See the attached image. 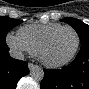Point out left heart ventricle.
<instances>
[{
	"instance_id": "b2bd125f",
	"label": "left heart ventricle",
	"mask_w": 89,
	"mask_h": 89,
	"mask_svg": "<svg viewBox=\"0 0 89 89\" xmlns=\"http://www.w3.org/2000/svg\"><path fill=\"white\" fill-rule=\"evenodd\" d=\"M76 44V36L69 29L62 30L55 35L44 51V57L52 62L67 58Z\"/></svg>"
}]
</instances>
